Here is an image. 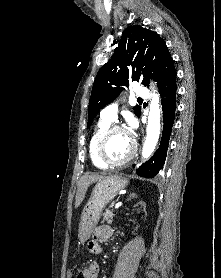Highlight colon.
<instances>
[{"mask_svg": "<svg viewBox=\"0 0 221 278\" xmlns=\"http://www.w3.org/2000/svg\"><path fill=\"white\" fill-rule=\"evenodd\" d=\"M67 278H87V275L85 269L75 266L68 270Z\"/></svg>", "mask_w": 221, "mask_h": 278, "instance_id": "1", "label": "colon"}]
</instances>
